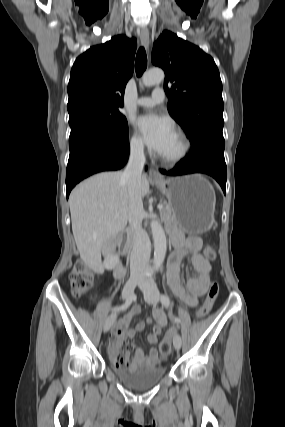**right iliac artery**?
<instances>
[{"label": "right iliac artery", "mask_w": 285, "mask_h": 427, "mask_svg": "<svg viewBox=\"0 0 285 427\" xmlns=\"http://www.w3.org/2000/svg\"><path fill=\"white\" fill-rule=\"evenodd\" d=\"M133 299H134V296L131 295L122 306L116 307V308H114V310H125V309H127L131 305Z\"/></svg>", "instance_id": "obj_1"}]
</instances>
